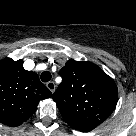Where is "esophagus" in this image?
<instances>
[{
    "mask_svg": "<svg viewBox=\"0 0 136 136\" xmlns=\"http://www.w3.org/2000/svg\"><path fill=\"white\" fill-rule=\"evenodd\" d=\"M47 88L53 93L56 89V85L53 81H49L47 84H46Z\"/></svg>",
    "mask_w": 136,
    "mask_h": 136,
    "instance_id": "1",
    "label": "esophagus"
}]
</instances>
